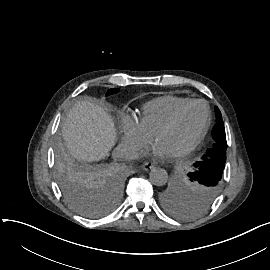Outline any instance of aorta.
Returning <instances> with one entry per match:
<instances>
[{"label": "aorta", "mask_w": 270, "mask_h": 270, "mask_svg": "<svg viewBox=\"0 0 270 270\" xmlns=\"http://www.w3.org/2000/svg\"><path fill=\"white\" fill-rule=\"evenodd\" d=\"M168 174L165 169L155 168L150 172V182L156 186H163L167 183Z\"/></svg>", "instance_id": "aorta-1"}]
</instances>
